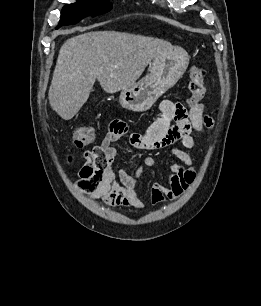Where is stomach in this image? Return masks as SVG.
<instances>
[{
	"instance_id": "stomach-1",
	"label": "stomach",
	"mask_w": 261,
	"mask_h": 306,
	"mask_svg": "<svg viewBox=\"0 0 261 306\" xmlns=\"http://www.w3.org/2000/svg\"><path fill=\"white\" fill-rule=\"evenodd\" d=\"M188 64L189 55L181 47L172 46L158 54L150 66L149 75L121 90V106L134 112L150 109L162 94L177 83Z\"/></svg>"
}]
</instances>
